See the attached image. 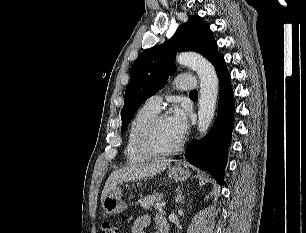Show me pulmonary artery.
<instances>
[{
  "mask_svg": "<svg viewBox=\"0 0 306 233\" xmlns=\"http://www.w3.org/2000/svg\"><path fill=\"white\" fill-rule=\"evenodd\" d=\"M174 86L181 91H192L196 88V81L188 75H178L174 80ZM162 102L161 95L156 94L147 99L146 104L155 110H159Z\"/></svg>",
  "mask_w": 306,
  "mask_h": 233,
  "instance_id": "1",
  "label": "pulmonary artery"
}]
</instances>
